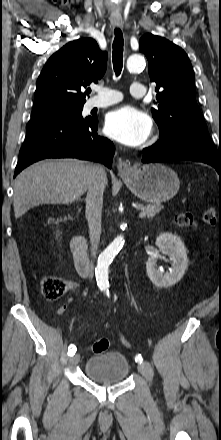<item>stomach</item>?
Returning <instances> with one entry per match:
<instances>
[{"label":"stomach","mask_w":221,"mask_h":440,"mask_svg":"<svg viewBox=\"0 0 221 440\" xmlns=\"http://www.w3.org/2000/svg\"><path fill=\"white\" fill-rule=\"evenodd\" d=\"M121 176L135 196L154 204L173 198L180 187L175 171L159 163L133 166Z\"/></svg>","instance_id":"stomach-1"}]
</instances>
